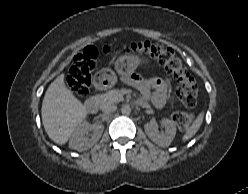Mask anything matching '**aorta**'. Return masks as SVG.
I'll list each match as a JSON object with an SVG mask.
<instances>
[{
	"label": "aorta",
	"mask_w": 248,
	"mask_h": 194,
	"mask_svg": "<svg viewBox=\"0 0 248 194\" xmlns=\"http://www.w3.org/2000/svg\"><path fill=\"white\" fill-rule=\"evenodd\" d=\"M121 112L122 114L124 115H129L131 113V108L129 105H124L122 108H121Z\"/></svg>",
	"instance_id": "1"
}]
</instances>
